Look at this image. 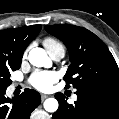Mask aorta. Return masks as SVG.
I'll return each mask as SVG.
<instances>
[{"mask_svg": "<svg viewBox=\"0 0 119 119\" xmlns=\"http://www.w3.org/2000/svg\"><path fill=\"white\" fill-rule=\"evenodd\" d=\"M29 62L36 67H48L51 61L42 48H33L28 55ZM58 101L55 98H48L44 101V109L48 112H55L58 109Z\"/></svg>", "mask_w": 119, "mask_h": 119, "instance_id": "aorta-1", "label": "aorta"}]
</instances>
